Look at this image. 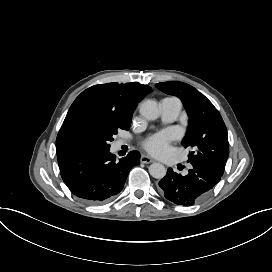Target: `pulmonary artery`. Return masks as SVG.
<instances>
[{
	"label": "pulmonary artery",
	"instance_id": "e3ab8cb5",
	"mask_svg": "<svg viewBox=\"0 0 272 272\" xmlns=\"http://www.w3.org/2000/svg\"><path fill=\"white\" fill-rule=\"evenodd\" d=\"M182 104L176 97H167L160 101L161 118L163 123L169 124L177 120L181 113ZM126 142L124 140H117L112 143V151H117ZM184 172L189 173L192 170L191 165L186 164L183 167Z\"/></svg>",
	"mask_w": 272,
	"mask_h": 272
}]
</instances>
